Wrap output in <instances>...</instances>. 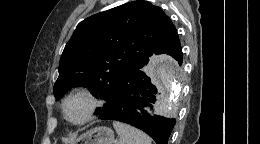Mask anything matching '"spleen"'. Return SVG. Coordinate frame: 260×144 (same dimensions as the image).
I'll use <instances>...</instances> for the list:
<instances>
[{"label":"spleen","mask_w":260,"mask_h":144,"mask_svg":"<svg viewBox=\"0 0 260 144\" xmlns=\"http://www.w3.org/2000/svg\"><path fill=\"white\" fill-rule=\"evenodd\" d=\"M113 126L120 137L119 144H151L148 135L130 125L114 121Z\"/></svg>","instance_id":"3e777b00"}]
</instances>
